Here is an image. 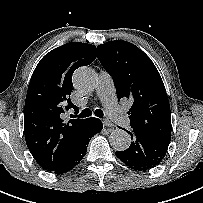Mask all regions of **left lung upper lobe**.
Wrapping results in <instances>:
<instances>
[{
    "label": "left lung upper lobe",
    "instance_id": "1",
    "mask_svg": "<svg viewBox=\"0 0 203 203\" xmlns=\"http://www.w3.org/2000/svg\"><path fill=\"white\" fill-rule=\"evenodd\" d=\"M98 59L112 76L118 100L130 99L132 129L158 139L171 140V112L162 78L151 59L126 41H109L98 47Z\"/></svg>",
    "mask_w": 203,
    "mask_h": 203
}]
</instances>
